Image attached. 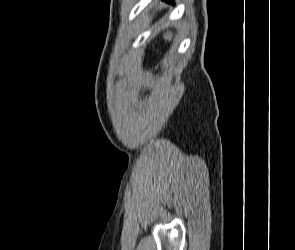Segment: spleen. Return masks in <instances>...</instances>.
<instances>
[{
	"label": "spleen",
	"mask_w": 295,
	"mask_h": 250,
	"mask_svg": "<svg viewBox=\"0 0 295 250\" xmlns=\"http://www.w3.org/2000/svg\"><path fill=\"white\" fill-rule=\"evenodd\" d=\"M172 33H166V34H164V39L167 41H171L172 40Z\"/></svg>",
	"instance_id": "1"
}]
</instances>
